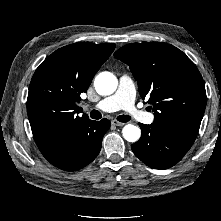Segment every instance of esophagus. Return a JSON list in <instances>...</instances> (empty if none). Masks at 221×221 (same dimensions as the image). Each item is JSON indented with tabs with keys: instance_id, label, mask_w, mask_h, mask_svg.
I'll return each mask as SVG.
<instances>
[{
	"instance_id": "obj_1",
	"label": "esophagus",
	"mask_w": 221,
	"mask_h": 221,
	"mask_svg": "<svg viewBox=\"0 0 221 221\" xmlns=\"http://www.w3.org/2000/svg\"><path fill=\"white\" fill-rule=\"evenodd\" d=\"M111 123H112V125L118 126V127H121V126H124V125H125V123L119 122V121H117V120H112Z\"/></svg>"
}]
</instances>
